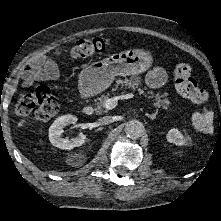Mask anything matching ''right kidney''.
<instances>
[{
  "mask_svg": "<svg viewBox=\"0 0 221 221\" xmlns=\"http://www.w3.org/2000/svg\"><path fill=\"white\" fill-rule=\"evenodd\" d=\"M77 118L73 115H64L57 118L49 128V140L51 144L60 149L71 150L74 147L81 146L84 144L86 136L80 133L75 138H62V133L64 132V127L69 124H76Z\"/></svg>",
  "mask_w": 221,
  "mask_h": 221,
  "instance_id": "1",
  "label": "right kidney"
}]
</instances>
